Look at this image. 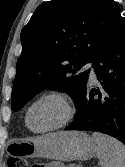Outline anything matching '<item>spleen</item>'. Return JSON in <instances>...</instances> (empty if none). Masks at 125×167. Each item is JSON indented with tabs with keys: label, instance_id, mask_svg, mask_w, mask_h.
<instances>
[{
	"label": "spleen",
	"instance_id": "spleen-1",
	"mask_svg": "<svg viewBox=\"0 0 125 167\" xmlns=\"http://www.w3.org/2000/svg\"><path fill=\"white\" fill-rule=\"evenodd\" d=\"M92 136L97 144L96 154L101 167H125V145L98 132H94Z\"/></svg>",
	"mask_w": 125,
	"mask_h": 167
}]
</instances>
